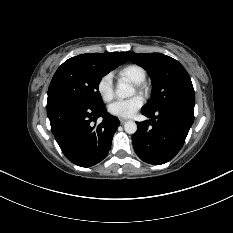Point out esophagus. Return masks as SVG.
Masks as SVG:
<instances>
[{
  "mask_svg": "<svg viewBox=\"0 0 233 233\" xmlns=\"http://www.w3.org/2000/svg\"><path fill=\"white\" fill-rule=\"evenodd\" d=\"M119 121H120V124H124L127 121V119L120 118Z\"/></svg>",
  "mask_w": 233,
  "mask_h": 233,
  "instance_id": "obj_1",
  "label": "esophagus"
}]
</instances>
